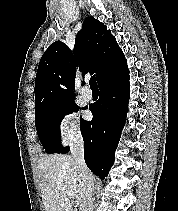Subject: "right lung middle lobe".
Here are the masks:
<instances>
[{
  "instance_id": "1",
  "label": "right lung middle lobe",
  "mask_w": 178,
  "mask_h": 211,
  "mask_svg": "<svg viewBox=\"0 0 178 211\" xmlns=\"http://www.w3.org/2000/svg\"><path fill=\"white\" fill-rule=\"evenodd\" d=\"M77 109L74 101H68L50 105L35 114L37 133L46 153H55L61 148V135L58 133L61 121L65 115Z\"/></svg>"
}]
</instances>
